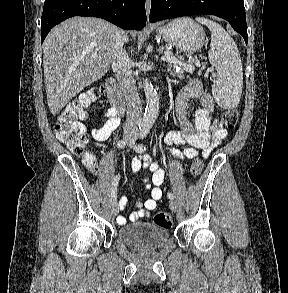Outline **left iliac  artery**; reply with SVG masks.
<instances>
[{
    "label": "left iliac artery",
    "instance_id": "1",
    "mask_svg": "<svg viewBox=\"0 0 288 293\" xmlns=\"http://www.w3.org/2000/svg\"><path fill=\"white\" fill-rule=\"evenodd\" d=\"M147 134H148V131L147 130H141V132H140V139L145 138ZM134 149H135L136 152L142 153V152H144L146 150V147L143 144H137L134 147ZM167 196H168L169 199H174V195H173L172 192H168Z\"/></svg>",
    "mask_w": 288,
    "mask_h": 293
}]
</instances>
